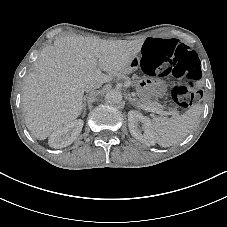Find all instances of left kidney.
Segmentation results:
<instances>
[{"label": "left kidney", "instance_id": "5707ae66", "mask_svg": "<svg viewBox=\"0 0 227 227\" xmlns=\"http://www.w3.org/2000/svg\"><path fill=\"white\" fill-rule=\"evenodd\" d=\"M140 123L142 127L139 126ZM128 127L132 137L139 142L147 146H151L155 143L148 118L144 117L139 112L134 110L128 112ZM142 131H144L143 134Z\"/></svg>", "mask_w": 227, "mask_h": 227}]
</instances>
